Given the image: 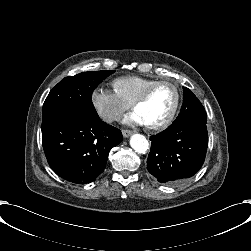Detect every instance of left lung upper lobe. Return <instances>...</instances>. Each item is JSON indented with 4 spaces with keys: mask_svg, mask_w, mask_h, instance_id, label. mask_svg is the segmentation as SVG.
<instances>
[{
    "mask_svg": "<svg viewBox=\"0 0 251 251\" xmlns=\"http://www.w3.org/2000/svg\"><path fill=\"white\" fill-rule=\"evenodd\" d=\"M188 121L207 122V115L203 105L197 97L188 88L183 87V104L180 114L170 126Z\"/></svg>",
    "mask_w": 251,
    "mask_h": 251,
    "instance_id": "obj_1",
    "label": "left lung upper lobe"
}]
</instances>
